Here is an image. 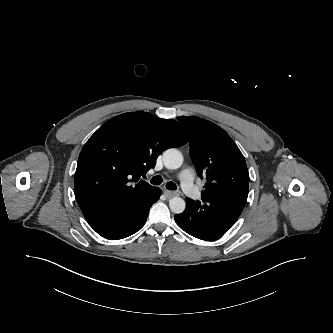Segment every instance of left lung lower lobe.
I'll return each mask as SVG.
<instances>
[{
    "label": "left lung lower lobe",
    "mask_w": 333,
    "mask_h": 333,
    "mask_svg": "<svg viewBox=\"0 0 333 333\" xmlns=\"http://www.w3.org/2000/svg\"><path fill=\"white\" fill-rule=\"evenodd\" d=\"M247 196L248 182H241L202 195V201L186 198V209L174 216L175 221L188 234L202 240H213L233 226Z\"/></svg>",
    "instance_id": "1"
}]
</instances>
